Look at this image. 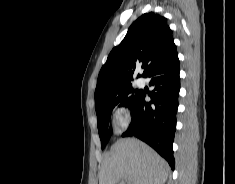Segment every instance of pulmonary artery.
I'll return each instance as SVG.
<instances>
[{
	"mask_svg": "<svg viewBox=\"0 0 235 184\" xmlns=\"http://www.w3.org/2000/svg\"><path fill=\"white\" fill-rule=\"evenodd\" d=\"M137 85L140 86V87H143V86L145 85L144 80H143L142 78H139V79L137 80Z\"/></svg>",
	"mask_w": 235,
	"mask_h": 184,
	"instance_id": "e3ab8cb5",
	"label": "pulmonary artery"
}]
</instances>
